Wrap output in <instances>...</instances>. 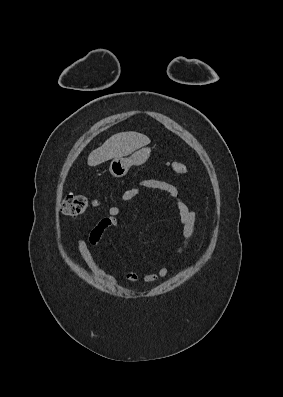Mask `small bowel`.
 I'll use <instances>...</instances> for the list:
<instances>
[{
    "label": "small bowel",
    "instance_id": "small-bowel-1",
    "mask_svg": "<svg viewBox=\"0 0 283 397\" xmlns=\"http://www.w3.org/2000/svg\"><path fill=\"white\" fill-rule=\"evenodd\" d=\"M142 188L157 189L167 192L177 204L179 212V222L182 227L183 244L178 248L177 252L182 254L189 247L192 238L194 236L195 229V211L186 203H184L180 197L177 188L166 181L147 179L142 180L136 185L127 189L121 199L123 202H128L137 197ZM121 210L118 206H112L109 208L108 215L101 218L97 224L92 228L89 233L88 242L84 239H78L76 242L77 250L84 260L85 264L89 269L99 278L108 282L111 285H116L117 280L112 275L106 273L96 262L92 252L89 249V245L96 246L100 243L104 233L118 225V216ZM168 275V268L160 267L155 272L145 274L142 278L135 272L127 271L123 277L125 280L131 283H136L140 280L146 283H155L159 279L164 278Z\"/></svg>",
    "mask_w": 283,
    "mask_h": 397
}]
</instances>
